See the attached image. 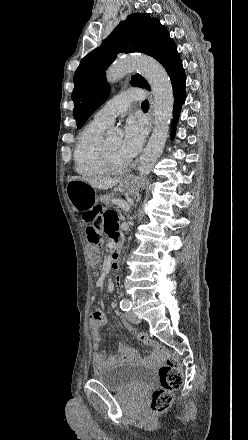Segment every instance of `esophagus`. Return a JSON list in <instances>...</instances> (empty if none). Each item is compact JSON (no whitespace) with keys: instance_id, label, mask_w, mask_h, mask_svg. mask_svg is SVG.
<instances>
[{"instance_id":"1","label":"esophagus","mask_w":248,"mask_h":440,"mask_svg":"<svg viewBox=\"0 0 248 440\" xmlns=\"http://www.w3.org/2000/svg\"><path fill=\"white\" fill-rule=\"evenodd\" d=\"M153 116H154V113H153V101L151 100V103H150V125H151V127L153 125Z\"/></svg>"}]
</instances>
